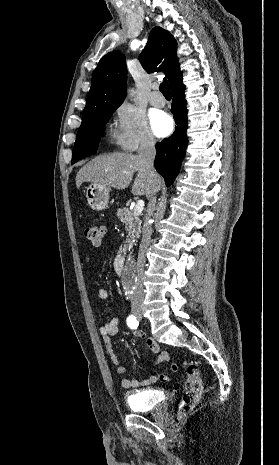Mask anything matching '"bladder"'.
<instances>
[{
  "instance_id": "bladder-1",
  "label": "bladder",
  "mask_w": 279,
  "mask_h": 465,
  "mask_svg": "<svg viewBox=\"0 0 279 465\" xmlns=\"http://www.w3.org/2000/svg\"><path fill=\"white\" fill-rule=\"evenodd\" d=\"M167 400V394L157 389L131 391L126 395L127 405L133 412H161Z\"/></svg>"
}]
</instances>
